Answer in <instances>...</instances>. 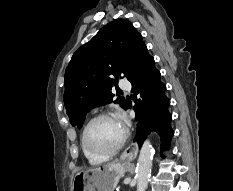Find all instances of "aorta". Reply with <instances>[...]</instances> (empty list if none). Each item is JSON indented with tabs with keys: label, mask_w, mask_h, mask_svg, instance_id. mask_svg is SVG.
I'll list each match as a JSON object with an SVG mask.
<instances>
[{
	"label": "aorta",
	"mask_w": 233,
	"mask_h": 191,
	"mask_svg": "<svg viewBox=\"0 0 233 191\" xmlns=\"http://www.w3.org/2000/svg\"><path fill=\"white\" fill-rule=\"evenodd\" d=\"M154 149L149 140H145L140 150L137 167L136 180L137 191H145L151 174Z\"/></svg>",
	"instance_id": "aorta-1"
}]
</instances>
